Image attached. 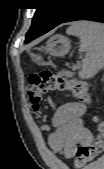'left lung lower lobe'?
I'll return each mask as SVG.
<instances>
[{"instance_id":"1","label":"left lung lower lobe","mask_w":104,"mask_h":169,"mask_svg":"<svg viewBox=\"0 0 104 169\" xmlns=\"http://www.w3.org/2000/svg\"><path fill=\"white\" fill-rule=\"evenodd\" d=\"M77 20H90L104 23V8L102 3L95 0H78L75 9L61 23ZM47 32L48 31H40L37 34L30 36L26 39L25 43H28Z\"/></svg>"}]
</instances>
